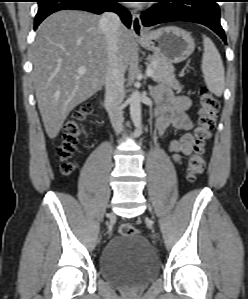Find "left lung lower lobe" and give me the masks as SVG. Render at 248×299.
Wrapping results in <instances>:
<instances>
[{
	"instance_id": "1",
	"label": "left lung lower lobe",
	"mask_w": 248,
	"mask_h": 299,
	"mask_svg": "<svg viewBox=\"0 0 248 299\" xmlns=\"http://www.w3.org/2000/svg\"><path fill=\"white\" fill-rule=\"evenodd\" d=\"M157 5L149 13L141 15L144 26H153L170 21H188L203 24L212 29L226 43L220 25V10L217 0H156Z\"/></svg>"
}]
</instances>
